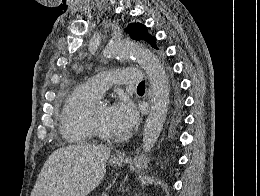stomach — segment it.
<instances>
[{"label": "stomach", "mask_w": 260, "mask_h": 196, "mask_svg": "<svg viewBox=\"0 0 260 196\" xmlns=\"http://www.w3.org/2000/svg\"><path fill=\"white\" fill-rule=\"evenodd\" d=\"M110 164L111 166H119V168H121L124 164V160H113V158H111Z\"/></svg>", "instance_id": "obj_1"}]
</instances>
